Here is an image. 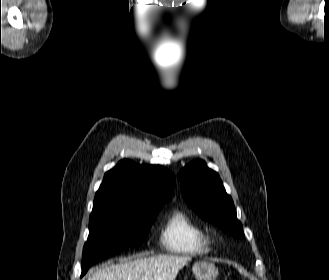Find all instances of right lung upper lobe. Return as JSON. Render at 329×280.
<instances>
[{
  "instance_id": "right-lung-upper-lobe-1",
  "label": "right lung upper lobe",
  "mask_w": 329,
  "mask_h": 280,
  "mask_svg": "<svg viewBox=\"0 0 329 280\" xmlns=\"http://www.w3.org/2000/svg\"><path fill=\"white\" fill-rule=\"evenodd\" d=\"M174 184L175 176L170 170L159 165H139L124 159L105 174L96 192L94 205L109 201L145 205L169 199Z\"/></svg>"
}]
</instances>
